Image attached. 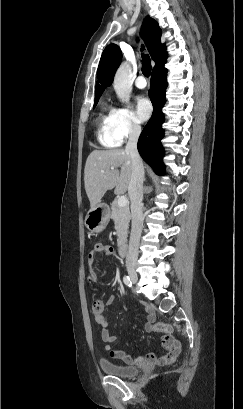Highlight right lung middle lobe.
Listing matches in <instances>:
<instances>
[{
  "label": "right lung middle lobe",
  "instance_id": "obj_1",
  "mask_svg": "<svg viewBox=\"0 0 243 409\" xmlns=\"http://www.w3.org/2000/svg\"><path fill=\"white\" fill-rule=\"evenodd\" d=\"M98 100H99V97L98 98H95V101H94V107L96 106V104L98 103Z\"/></svg>",
  "mask_w": 243,
  "mask_h": 409
}]
</instances>
